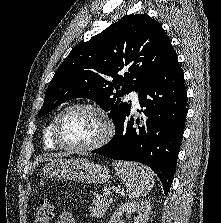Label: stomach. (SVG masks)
Instances as JSON below:
<instances>
[{
	"label": "stomach",
	"instance_id": "obj_1",
	"mask_svg": "<svg viewBox=\"0 0 221 223\" xmlns=\"http://www.w3.org/2000/svg\"><path fill=\"white\" fill-rule=\"evenodd\" d=\"M46 179L72 180L83 184H104L110 170L86 158L58 159L47 164L42 172Z\"/></svg>",
	"mask_w": 221,
	"mask_h": 223
}]
</instances>
